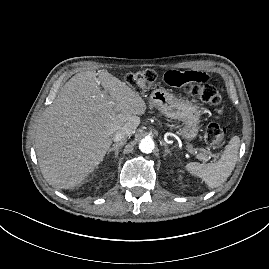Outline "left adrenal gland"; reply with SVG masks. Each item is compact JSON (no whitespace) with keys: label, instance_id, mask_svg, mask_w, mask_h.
Here are the masks:
<instances>
[{"label":"left adrenal gland","instance_id":"a2214340","mask_svg":"<svg viewBox=\"0 0 269 269\" xmlns=\"http://www.w3.org/2000/svg\"><path fill=\"white\" fill-rule=\"evenodd\" d=\"M164 145V155L163 157L165 158L168 154L171 153L170 149L168 148L167 144L165 142H163Z\"/></svg>","mask_w":269,"mask_h":269}]
</instances>
